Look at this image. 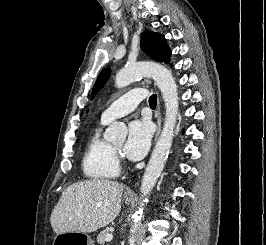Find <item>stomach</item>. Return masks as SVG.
Here are the masks:
<instances>
[{
    "label": "stomach",
    "instance_id": "stomach-1",
    "mask_svg": "<svg viewBox=\"0 0 266 245\" xmlns=\"http://www.w3.org/2000/svg\"><path fill=\"white\" fill-rule=\"evenodd\" d=\"M126 205H130L131 199L124 197ZM57 242H71L74 245H93V241L87 233H56Z\"/></svg>",
    "mask_w": 266,
    "mask_h": 245
}]
</instances>
